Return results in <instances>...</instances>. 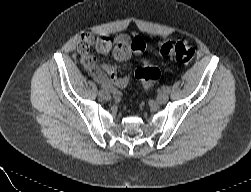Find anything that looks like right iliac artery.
I'll return each instance as SVG.
<instances>
[{
    "instance_id": "82829eb1",
    "label": "right iliac artery",
    "mask_w": 251,
    "mask_h": 192,
    "mask_svg": "<svg viewBox=\"0 0 251 192\" xmlns=\"http://www.w3.org/2000/svg\"><path fill=\"white\" fill-rule=\"evenodd\" d=\"M99 96L102 97V95L104 94V90H99Z\"/></svg>"
}]
</instances>
